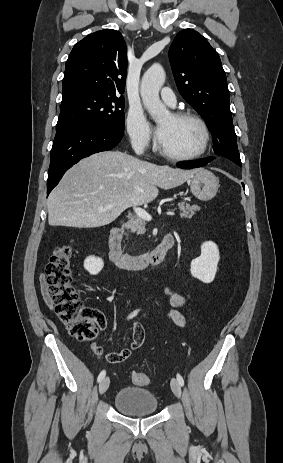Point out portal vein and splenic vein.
I'll list each match as a JSON object with an SVG mask.
<instances>
[{
	"label": "portal vein and splenic vein",
	"mask_w": 283,
	"mask_h": 463,
	"mask_svg": "<svg viewBox=\"0 0 283 463\" xmlns=\"http://www.w3.org/2000/svg\"><path fill=\"white\" fill-rule=\"evenodd\" d=\"M134 211L137 214L139 218H142L144 220L150 221L152 219L151 215L144 209L140 207H134ZM161 214V213H159ZM167 215H174V212H166Z\"/></svg>",
	"instance_id": "18ae733b"
}]
</instances>
